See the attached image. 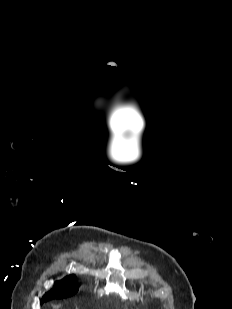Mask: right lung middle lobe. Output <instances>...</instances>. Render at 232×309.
<instances>
[{
  "instance_id": "dd1d6c3e",
  "label": "right lung middle lobe",
  "mask_w": 232,
  "mask_h": 309,
  "mask_svg": "<svg viewBox=\"0 0 232 309\" xmlns=\"http://www.w3.org/2000/svg\"><path fill=\"white\" fill-rule=\"evenodd\" d=\"M75 285H76L75 283L64 284L60 287L55 285L51 291L47 292L43 296V298L41 299V303L46 302L47 300L53 299V297H57V296H64V297L72 296L73 294L77 292Z\"/></svg>"
}]
</instances>
